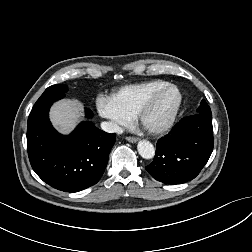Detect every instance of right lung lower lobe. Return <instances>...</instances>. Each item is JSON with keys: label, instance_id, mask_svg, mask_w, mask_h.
Segmentation results:
<instances>
[{"label": "right lung lower lobe", "instance_id": "98d812e1", "mask_svg": "<svg viewBox=\"0 0 252 252\" xmlns=\"http://www.w3.org/2000/svg\"><path fill=\"white\" fill-rule=\"evenodd\" d=\"M46 106L28 118L27 149L35 173L48 185L64 192H78L101 178L116 134L83 121L70 135L59 134L49 120ZM86 116L93 113L85 108Z\"/></svg>", "mask_w": 252, "mask_h": 252}]
</instances>
